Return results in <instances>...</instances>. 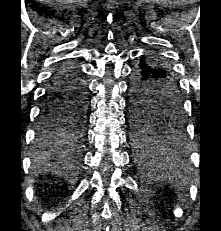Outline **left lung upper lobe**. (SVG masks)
Returning <instances> with one entry per match:
<instances>
[{
  "instance_id": "1",
  "label": "left lung upper lobe",
  "mask_w": 221,
  "mask_h": 231,
  "mask_svg": "<svg viewBox=\"0 0 221 231\" xmlns=\"http://www.w3.org/2000/svg\"><path fill=\"white\" fill-rule=\"evenodd\" d=\"M148 65L153 71L161 73V77L155 81L163 87L151 90H141L144 99H153L156 93L159 99H163V106L153 107L151 105H139L132 103L131 124L134 130V139L137 142H144L159 136L162 133L157 130L164 131L167 127H172L178 120L182 119V101L178 88V83L172 75L170 68L161 60H154ZM157 132V134H155Z\"/></svg>"
}]
</instances>
